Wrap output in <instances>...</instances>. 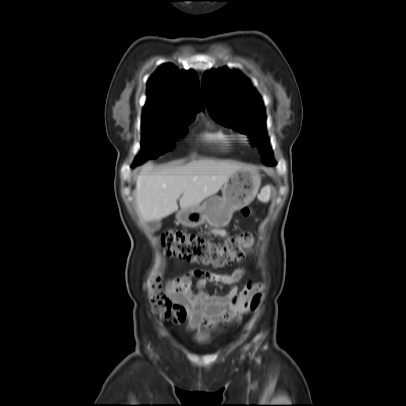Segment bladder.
Here are the masks:
<instances>
[{
	"instance_id": "31cf9c89",
	"label": "bladder",
	"mask_w": 406,
	"mask_h": 406,
	"mask_svg": "<svg viewBox=\"0 0 406 406\" xmlns=\"http://www.w3.org/2000/svg\"><path fill=\"white\" fill-rule=\"evenodd\" d=\"M196 340L199 343H205L206 342V338L204 336H198V337H196Z\"/></svg>"
}]
</instances>
